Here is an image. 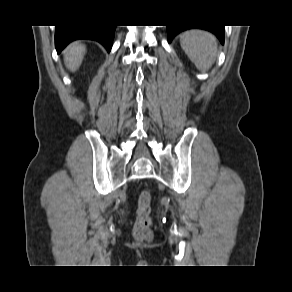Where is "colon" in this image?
Returning a JSON list of instances; mask_svg holds the SVG:
<instances>
[{
  "label": "colon",
  "instance_id": "obj_1",
  "mask_svg": "<svg viewBox=\"0 0 292 292\" xmlns=\"http://www.w3.org/2000/svg\"><path fill=\"white\" fill-rule=\"evenodd\" d=\"M151 226V193L143 190L138 197L137 216L133 228L135 238L150 239L152 235Z\"/></svg>",
  "mask_w": 292,
  "mask_h": 292
}]
</instances>
